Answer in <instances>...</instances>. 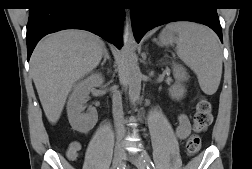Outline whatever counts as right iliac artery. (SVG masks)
Returning <instances> with one entry per match:
<instances>
[{
	"mask_svg": "<svg viewBox=\"0 0 252 169\" xmlns=\"http://www.w3.org/2000/svg\"><path fill=\"white\" fill-rule=\"evenodd\" d=\"M114 168H115V167L112 166L111 169H114ZM117 169H125V162H122V163L119 165V167H117Z\"/></svg>",
	"mask_w": 252,
	"mask_h": 169,
	"instance_id": "right-iliac-artery-1",
	"label": "right iliac artery"
}]
</instances>
